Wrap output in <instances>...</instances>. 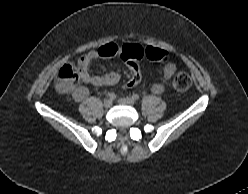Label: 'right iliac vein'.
<instances>
[{
  "mask_svg": "<svg viewBox=\"0 0 248 194\" xmlns=\"http://www.w3.org/2000/svg\"><path fill=\"white\" fill-rule=\"evenodd\" d=\"M103 105L105 108H110L112 106V100L111 99H105L104 102H103Z\"/></svg>",
  "mask_w": 248,
  "mask_h": 194,
  "instance_id": "63e3f726",
  "label": "right iliac vein"
}]
</instances>
